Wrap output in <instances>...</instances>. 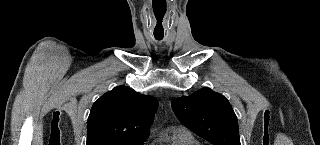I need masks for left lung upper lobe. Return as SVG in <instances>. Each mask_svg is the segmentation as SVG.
Here are the masks:
<instances>
[{"instance_id": "1", "label": "left lung upper lobe", "mask_w": 320, "mask_h": 145, "mask_svg": "<svg viewBox=\"0 0 320 145\" xmlns=\"http://www.w3.org/2000/svg\"><path fill=\"white\" fill-rule=\"evenodd\" d=\"M179 121L214 145H240L237 117L229 101L210 88L172 102Z\"/></svg>"}]
</instances>
